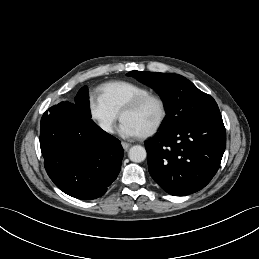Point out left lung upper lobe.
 Segmentation results:
<instances>
[{
  "label": "left lung upper lobe",
  "instance_id": "obj_1",
  "mask_svg": "<svg viewBox=\"0 0 259 259\" xmlns=\"http://www.w3.org/2000/svg\"><path fill=\"white\" fill-rule=\"evenodd\" d=\"M127 75L152 87L164 100L168 115L161 132L221 117L215 100L181 75L137 70Z\"/></svg>",
  "mask_w": 259,
  "mask_h": 259
}]
</instances>
